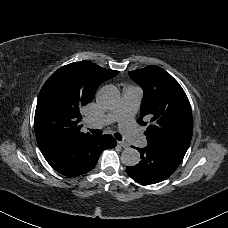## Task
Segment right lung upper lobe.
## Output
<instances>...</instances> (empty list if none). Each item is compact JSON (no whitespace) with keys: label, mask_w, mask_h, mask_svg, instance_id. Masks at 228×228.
<instances>
[{"label":"right lung upper lobe","mask_w":228,"mask_h":228,"mask_svg":"<svg viewBox=\"0 0 228 228\" xmlns=\"http://www.w3.org/2000/svg\"><path fill=\"white\" fill-rule=\"evenodd\" d=\"M118 71L90 61L74 62L55 71L41 88L34 128L42 154L91 136L80 131L81 108L91 102L98 86Z\"/></svg>","instance_id":"obj_1"}]
</instances>
